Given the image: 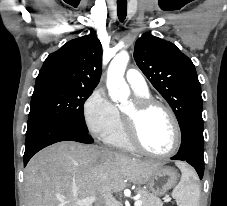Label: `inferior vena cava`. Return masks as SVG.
I'll list each match as a JSON object with an SVG mask.
<instances>
[{
	"mask_svg": "<svg viewBox=\"0 0 227 206\" xmlns=\"http://www.w3.org/2000/svg\"><path fill=\"white\" fill-rule=\"evenodd\" d=\"M105 205L106 206H112L111 203L113 201V197H112V193L111 192H107L105 195Z\"/></svg>",
	"mask_w": 227,
	"mask_h": 206,
	"instance_id": "1",
	"label": "inferior vena cava"
}]
</instances>
